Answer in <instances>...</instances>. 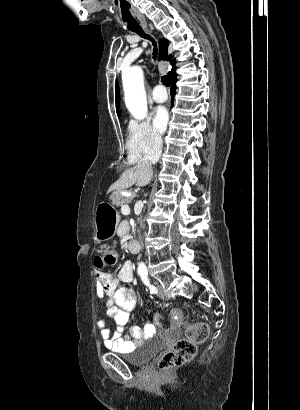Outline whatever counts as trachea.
<instances>
[{
  "mask_svg": "<svg viewBox=\"0 0 300 410\" xmlns=\"http://www.w3.org/2000/svg\"><path fill=\"white\" fill-rule=\"evenodd\" d=\"M131 31L137 33L139 36H141L143 38L150 39L152 41V43L154 45L153 58L155 59L156 56H157V48H156V42L153 40V38H151L149 35H147L142 29H132ZM161 81L167 87H169L170 84H171L170 78L167 75L163 76L161 78Z\"/></svg>",
  "mask_w": 300,
  "mask_h": 410,
  "instance_id": "3493384b",
  "label": "trachea"
}]
</instances>
